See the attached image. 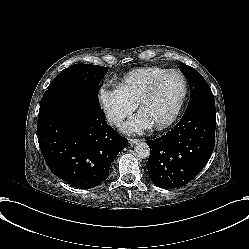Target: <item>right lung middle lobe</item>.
Instances as JSON below:
<instances>
[{
  "label": "right lung middle lobe",
  "instance_id": "obj_1",
  "mask_svg": "<svg viewBox=\"0 0 249 249\" xmlns=\"http://www.w3.org/2000/svg\"><path fill=\"white\" fill-rule=\"evenodd\" d=\"M107 68L91 64H74L61 71L48 86V90H71L82 93L86 103L101 108L98 99L100 80Z\"/></svg>",
  "mask_w": 249,
  "mask_h": 249
}]
</instances>
